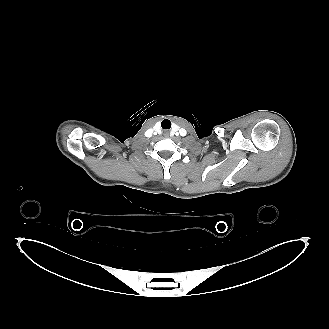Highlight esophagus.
<instances>
[{"mask_svg": "<svg viewBox=\"0 0 329 329\" xmlns=\"http://www.w3.org/2000/svg\"><path fill=\"white\" fill-rule=\"evenodd\" d=\"M165 134L168 135L169 134L168 131H166Z\"/></svg>", "mask_w": 329, "mask_h": 329, "instance_id": "1", "label": "esophagus"}]
</instances>
